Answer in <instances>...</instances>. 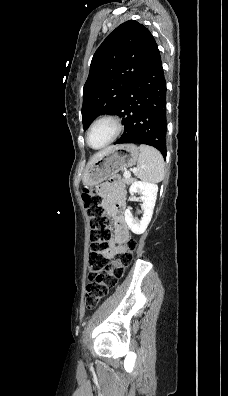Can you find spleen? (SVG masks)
<instances>
[{
    "mask_svg": "<svg viewBox=\"0 0 228 396\" xmlns=\"http://www.w3.org/2000/svg\"><path fill=\"white\" fill-rule=\"evenodd\" d=\"M137 176L143 181L158 183L164 178V160L161 153L148 145H140Z\"/></svg>",
    "mask_w": 228,
    "mask_h": 396,
    "instance_id": "obj_1",
    "label": "spleen"
}]
</instances>
